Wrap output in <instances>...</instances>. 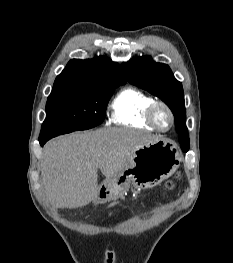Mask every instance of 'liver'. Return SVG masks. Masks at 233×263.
<instances>
[{"instance_id": "liver-1", "label": "liver", "mask_w": 233, "mask_h": 263, "mask_svg": "<svg viewBox=\"0 0 233 263\" xmlns=\"http://www.w3.org/2000/svg\"><path fill=\"white\" fill-rule=\"evenodd\" d=\"M156 138L128 128H105L49 141L40 162L49 202L57 208L86 206L99 193L98 169L106 180L114 177L135 148Z\"/></svg>"}]
</instances>
